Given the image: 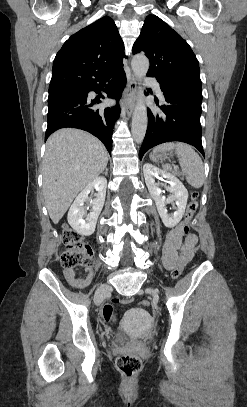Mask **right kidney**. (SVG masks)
<instances>
[{
  "instance_id": "right-kidney-1",
  "label": "right kidney",
  "mask_w": 247,
  "mask_h": 407,
  "mask_svg": "<svg viewBox=\"0 0 247 407\" xmlns=\"http://www.w3.org/2000/svg\"><path fill=\"white\" fill-rule=\"evenodd\" d=\"M107 180L98 177L91 181L76 197L68 212V223L79 234L89 236L94 233L97 219L103 208L106 196ZM97 191L96 197L91 201L92 212L86 214L84 204L89 200L90 192Z\"/></svg>"
}]
</instances>
